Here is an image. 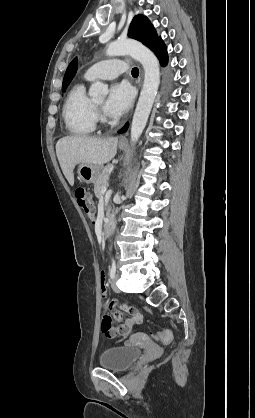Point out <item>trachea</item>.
Here are the masks:
<instances>
[{"instance_id": "trachea-1", "label": "trachea", "mask_w": 255, "mask_h": 418, "mask_svg": "<svg viewBox=\"0 0 255 418\" xmlns=\"http://www.w3.org/2000/svg\"><path fill=\"white\" fill-rule=\"evenodd\" d=\"M139 74V69L138 68H136V67H134L133 69H132V75H138Z\"/></svg>"}]
</instances>
